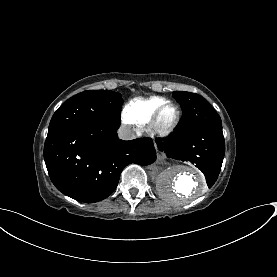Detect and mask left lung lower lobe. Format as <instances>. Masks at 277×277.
Returning a JSON list of instances; mask_svg holds the SVG:
<instances>
[{
    "instance_id": "obj_1",
    "label": "left lung lower lobe",
    "mask_w": 277,
    "mask_h": 277,
    "mask_svg": "<svg viewBox=\"0 0 277 277\" xmlns=\"http://www.w3.org/2000/svg\"><path fill=\"white\" fill-rule=\"evenodd\" d=\"M156 143L167 157L188 160L199 168L209 188L216 182L225 154L222 124L177 130L170 137L156 139Z\"/></svg>"
}]
</instances>
